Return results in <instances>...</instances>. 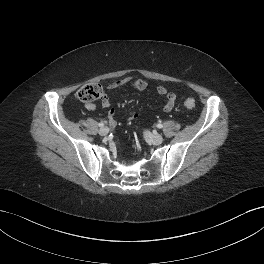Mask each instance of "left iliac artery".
Wrapping results in <instances>:
<instances>
[{
	"mask_svg": "<svg viewBox=\"0 0 264 264\" xmlns=\"http://www.w3.org/2000/svg\"><path fill=\"white\" fill-rule=\"evenodd\" d=\"M157 127H158V128H162L163 125H162V124H157Z\"/></svg>",
	"mask_w": 264,
	"mask_h": 264,
	"instance_id": "left-iliac-artery-1",
	"label": "left iliac artery"
}]
</instances>
